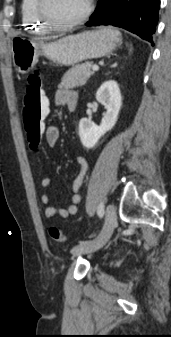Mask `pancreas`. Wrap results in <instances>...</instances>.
I'll return each mask as SVG.
<instances>
[{
    "mask_svg": "<svg viewBox=\"0 0 171 337\" xmlns=\"http://www.w3.org/2000/svg\"><path fill=\"white\" fill-rule=\"evenodd\" d=\"M92 62H86L70 68L63 76L59 88L72 89L83 86L94 71H91Z\"/></svg>",
    "mask_w": 171,
    "mask_h": 337,
    "instance_id": "obj_1",
    "label": "pancreas"
}]
</instances>
